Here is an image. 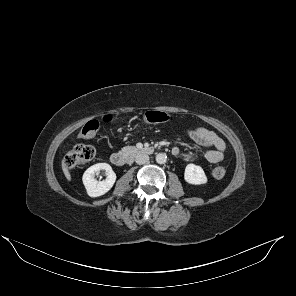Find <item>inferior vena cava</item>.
Wrapping results in <instances>:
<instances>
[{
	"label": "inferior vena cava",
	"mask_w": 296,
	"mask_h": 296,
	"mask_svg": "<svg viewBox=\"0 0 296 296\" xmlns=\"http://www.w3.org/2000/svg\"><path fill=\"white\" fill-rule=\"evenodd\" d=\"M135 161L139 165L146 164L147 162H149V156L147 154L140 153L136 155Z\"/></svg>",
	"instance_id": "1"
}]
</instances>
